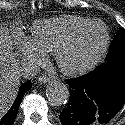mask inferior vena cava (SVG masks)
I'll return each mask as SVG.
<instances>
[{
  "label": "inferior vena cava",
  "instance_id": "1",
  "mask_svg": "<svg viewBox=\"0 0 125 125\" xmlns=\"http://www.w3.org/2000/svg\"><path fill=\"white\" fill-rule=\"evenodd\" d=\"M20 71L24 78H32L36 75L38 67L36 64H28L23 66Z\"/></svg>",
  "mask_w": 125,
  "mask_h": 125
}]
</instances>
